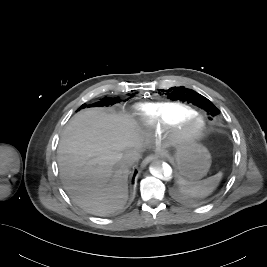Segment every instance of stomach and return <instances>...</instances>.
<instances>
[{
	"label": "stomach",
	"mask_w": 267,
	"mask_h": 267,
	"mask_svg": "<svg viewBox=\"0 0 267 267\" xmlns=\"http://www.w3.org/2000/svg\"><path fill=\"white\" fill-rule=\"evenodd\" d=\"M174 159L179 173L189 181H197L204 177L211 166L209 151L195 142L179 144Z\"/></svg>",
	"instance_id": "obj_1"
}]
</instances>
